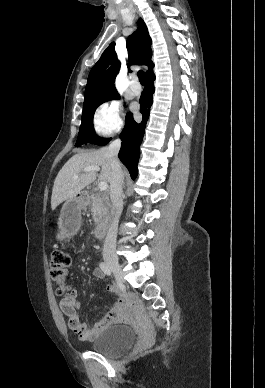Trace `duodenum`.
I'll return each mask as SVG.
<instances>
[{"label": "duodenum", "instance_id": "410a0bca", "mask_svg": "<svg viewBox=\"0 0 265 388\" xmlns=\"http://www.w3.org/2000/svg\"><path fill=\"white\" fill-rule=\"evenodd\" d=\"M91 197H92L91 193L87 191H83L77 195L78 201L82 204L88 203ZM109 224H110V219L105 218L97 225L95 233L98 238H102L105 236L108 230Z\"/></svg>", "mask_w": 265, "mask_h": 388}]
</instances>
